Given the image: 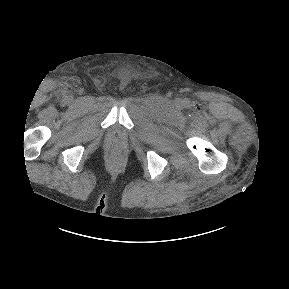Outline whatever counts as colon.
<instances>
[{"mask_svg":"<svg viewBox=\"0 0 289 289\" xmlns=\"http://www.w3.org/2000/svg\"><path fill=\"white\" fill-rule=\"evenodd\" d=\"M111 156H112V158L117 159V158H119L120 153H119V151H117V150H113V151L111 152Z\"/></svg>","mask_w":289,"mask_h":289,"instance_id":"obj_1","label":"colon"}]
</instances>
